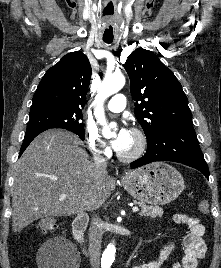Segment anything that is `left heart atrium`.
<instances>
[{
	"mask_svg": "<svg viewBox=\"0 0 221 268\" xmlns=\"http://www.w3.org/2000/svg\"><path fill=\"white\" fill-rule=\"evenodd\" d=\"M130 134L131 132L126 127H121L111 141L112 147L116 151L121 152L125 148Z\"/></svg>",
	"mask_w": 221,
	"mask_h": 268,
	"instance_id": "obj_1",
	"label": "left heart atrium"
}]
</instances>
